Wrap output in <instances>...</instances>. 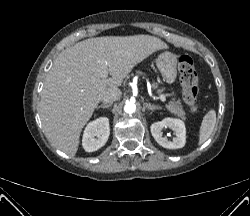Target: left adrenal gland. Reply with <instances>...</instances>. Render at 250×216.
<instances>
[{
    "mask_svg": "<svg viewBox=\"0 0 250 216\" xmlns=\"http://www.w3.org/2000/svg\"><path fill=\"white\" fill-rule=\"evenodd\" d=\"M145 105H146V107H147L148 110H159V109H161V107L155 106V105H151L150 103H146Z\"/></svg>",
    "mask_w": 250,
    "mask_h": 216,
    "instance_id": "1",
    "label": "left adrenal gland"
}]
</instances>
